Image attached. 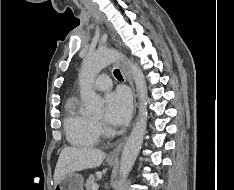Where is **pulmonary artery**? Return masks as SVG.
I'll return each instance as SVG.
<instances>
[{"label": "pulmonary artery", "mask_w": 234, "mask_h": 190, "mask_svg": "<svg viewBox=\"0 0 234 190\" xmlns=\"http://www.w3.org/2000/svg\"><path fill=\"white\" fill-rule=\"evenodd\" d=\"M95 88L98 90H106L110 87V78L106 75L100 76L96 81H95Z\"/></svg>", "instance_id": "obj_1"}]
</instances>
